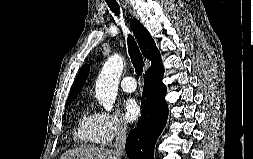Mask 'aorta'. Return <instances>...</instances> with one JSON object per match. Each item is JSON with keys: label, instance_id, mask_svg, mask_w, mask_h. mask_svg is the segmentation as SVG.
Listing matches in <instances>:
<instances>
[{"label": "aorta", "instance_id": "aorta-1", "mask_svg": "<svg viewBox=\"0 0 253 159\" xmlns=\"http://www.w3.org/2000/svg\"><path fill=\"white\" fill-rule=\"evenodd\" d=\"M123 67V58L118 54L112 55L103 65L96 81V98L106 111L113 109Z\"/></svg>", "mask_w": 253, "mask_h": 159}]
</instances>
